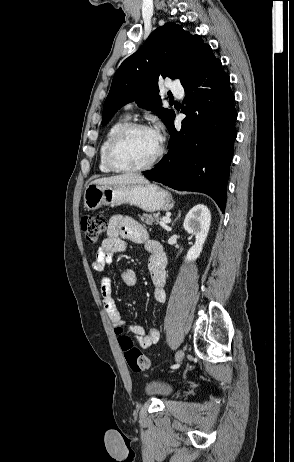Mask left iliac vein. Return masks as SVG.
<instances>
[{
	"mask_svg": "<svg viewBox=\"0 0 294 462\" xmlns=\"http://www.w3.org/2000/svg\"><path fill=\"white\" fill-rule=\"evenodd\" d=\"M184 355H185V353H184V351H183L182 349H179V350L177 351V353H176V355H175V361H176V363H177L176 365H179V364H180V362H181V361L183 360V358H184Z\"/></svg>",
	"mask_w": 294,
	"mask_h": 462,
	"instance_id": "4c4485c4",
	"label": "left iliac vein"
}]
</instances>
